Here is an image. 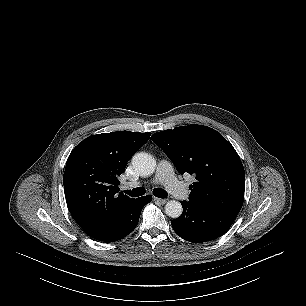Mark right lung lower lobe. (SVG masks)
Returning <instances> with one entry per match:
<instances>
[{
  "label": "right lung lower lobe",
  "instance_id": "98d812e1",
  "mask_svg": "<svg viewBox=\"0 0 306 306\" xmlns=\"http://www.w3.org/2000/svg\"><path fill=\"white\" fill-rule=\"evenodd\" d=\"M151 200L150 195L133 199L109 228L92 238L103 242H114L124 238L135 229L142 208Z\"/></svg>",
  "mask_w": 306,
  "mask_h": 306
}]
</instances>
